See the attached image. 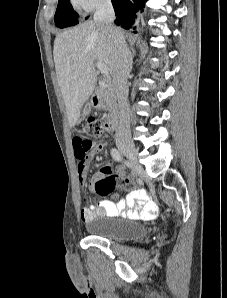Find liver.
Wrapping results in <instances>:
<instances>
[{"label":"liver","mask_w":227,"mask_h":298,"mask_svg":"<svg viewBox=\"0 0 227 298\" xmlns=\"http://www.w3.org/2000/svg\"><path fill=\"white\" fill-rule=\"evenodd\" d=\"M116 30L122 34L120 29ZM53 55L69 125L74 127L97 83L94 63L106 65L113 77V42L108 33L89 20L59 33Z\"/></svg>","instance_id":"obj_1"}]
</instances>
